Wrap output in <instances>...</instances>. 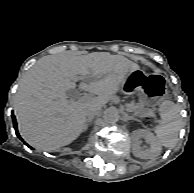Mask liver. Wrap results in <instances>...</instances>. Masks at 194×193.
<instances>
[{
    "label": "liver",
    "instance_id": "6515ba94",
    "mask_svg": "<svg viewBox=\"0 0 194 193\" xmlns=\"http://www.w3.org/2000/svg\"><path fill=\"white\" fill-rule=\"evenodd\" d=\"M138 64L121 55L93 52L40 58L21 78L14 111L22 138L32 147L59 151L85 130L86 112L100 110L114 99ZM80 81L96 97L68 99L67 91Z\"/></svg>",
    "mask_w": 194,
    "mask_h": 193
}]
</instances>
